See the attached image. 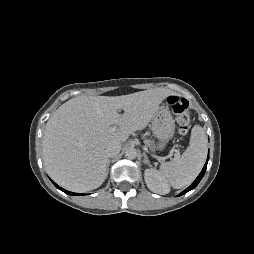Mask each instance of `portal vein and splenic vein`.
I'll return each instance as SVG.
<instances>
[{"label":"portal vein and splenic vein","mask_w":254,"mask_h":254,"mask_svg":"<svg viewBox=\"0 0 254 254\" xmlns=\"http://www.w3.org/2000/svg\"><path fill=\"white\" fill-rule=\"evenodd\" d=\"M116 130H117V126H112V127H110V129H109L110 132H114V131H116ZM176 152H177V151H176ZM179 155H180L179 152H177V153H176V157H179Z\"/></svg>","instance_id":"18ae733b"}]
</instances>
